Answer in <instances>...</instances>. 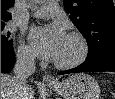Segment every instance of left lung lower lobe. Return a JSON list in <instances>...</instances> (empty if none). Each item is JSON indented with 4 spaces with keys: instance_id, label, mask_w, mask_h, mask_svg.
<instances>
[{
    "instance_id": "0a47b994",
    "label": "left lung lower lobe",
    "mask_w": 115,
    "mask_h": 99,
    "mask_svg": "<svg viewBox=\"0 0 115 99\" xmlns=\"http://www.w3.org/2000/svg\"><path fill=\"white\" fill-rule=\"evenodd\" d=\"M111 71L115 72V53L106 54L101 57L86 60L76 68L59 72V75L78 73V72H100Z\"/></svg>"
}]
</instances>
